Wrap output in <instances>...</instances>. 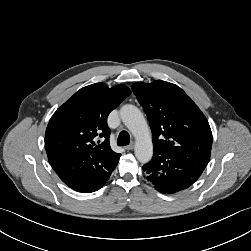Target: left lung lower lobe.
Segmentation results:
<instances>
[{
  "mask_svg": "<svg viewBox=\"0 0 251 251\" xmlns=\"http://www.w3.org/2000/svg\"><path fill=\"white\" fill-rule=\"evenodd\" d=\"M208 161L194 156L154 150L152 159L142 169L159 192L169 194L192 185L200 177Z\"/></svg>",
  "mask_w": 251,
  "mask_h": 251,
  "instance_id": "obj_1",
  "label": "left lung lower lobe"
}]
</instances>
